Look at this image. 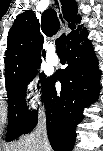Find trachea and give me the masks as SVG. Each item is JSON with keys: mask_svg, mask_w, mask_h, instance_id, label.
<instances>
[{"mask_svg": "<svg viewBox=\"0 0 103 151\" xmlns=\"http://www.w3.org/2000/svg\"><path fill=\"white\" fill-rule=\"evenodd\" d=\"M66 42L67 40L65 34H63L56 40L55 44H56V51L58 54L66 55Z\"/></svg>", "mask_w": 103, "mask_h": 151, "instance_id": "3493384b", "label": "trachea"}]
</instances>
